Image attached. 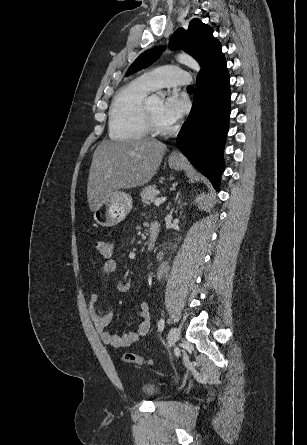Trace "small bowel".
Listing matches in <instances>:
<instances>
[{"label": "small bowel", "instance_id": "1", "mask_svg": "<svg viewBox=\"0 0 307 445\" xmlns=\"http://www.w3.org/2000/svg\"><path fill=\"white\" fill-rule=\"evenodd\" d=\"M152 227L159 229L157 223L152 224L151 228ZM116 269L117 264L115 260L109 259L103 264L102 273L105 276H109L113 274ZM97 299V294H92L90 296L88 312L105 344L115 348H124L136 343L140 338L148 334L151 327V312L146 301H142L139 305V316L141 321L137 329L133 332L123 334L122 336H116L111 334L107 329L113 319V313L110 310L99 309L96 306Z\"/></svg>", "mask_w": 307, "mask_h": 445}]
</instances>
